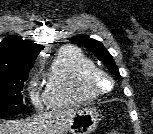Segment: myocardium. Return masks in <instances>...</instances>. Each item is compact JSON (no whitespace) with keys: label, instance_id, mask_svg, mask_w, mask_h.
<instances>
[{"label":"myocardium","instance_id":"obj_1","mask_svg":"<svg viewBox=\"0 0 153 134\" xmlns=\"http://www.w3.org/2000/svg\"><path fill=\"white\" fill-rule=\"evenodd\" d=\"M100 78H103L108 82L109 86L107 88H102L99 86ZM85 83L87 89L96 96L107 94L114 88L113 78L106 71L98 67H94L87 72Z\"/></svg>","mask_w":153,"mask_h":134}]
</instances>
